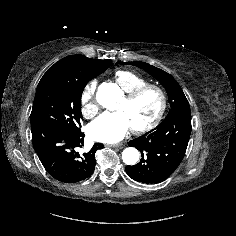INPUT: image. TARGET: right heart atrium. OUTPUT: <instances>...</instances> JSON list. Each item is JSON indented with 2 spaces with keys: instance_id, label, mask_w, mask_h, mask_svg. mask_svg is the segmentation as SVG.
I'll list each match as a JSON object with an SVG mask.
<instances>
[{
  "instance_id": "d8ad5b80",
  "label": "right heart atrium",
  "mask_w": 236,
  "mask_h": 236,
  "mask_svg": "<svg viewBox=\"0 0 236 236\" xmlns=\"http://www.w3.org/2000/svg\"><path fill=\"white\" fill-rule=\"evenodd\" d=\"M96 87V81H91L85 86L81 94V112L88 119L93 118L99 110V105L95 97Z\"/></svg>"
}]
</instances>
